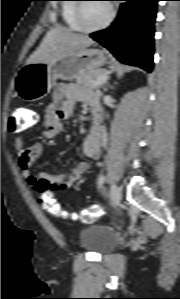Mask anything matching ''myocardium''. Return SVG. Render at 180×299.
<instances>
[{
	"label": "myocardium",
	"mask_w": 180,
	"mask_h": 299,
	"mask_svg": "<svg viewBox=\"0 0 180 299\" xmlns=\"http://www.w3.org/2000/svg\"><path fill=\"white\" fill-rule=\"evenodd\" d=\"M78 1L79 2L76 3L74 17H75V21H76L81 32H84V33L98 32V31H101V30L107 28L112 23V21L115 17V8L112 3H108L109 4V14H108L107 18L102 23L97 26H93V27L85 26L83 15H82L84 2H82L83 0H78Z\"/></svg>",
	"instance_id": "obj_1"
}]
</instances>
